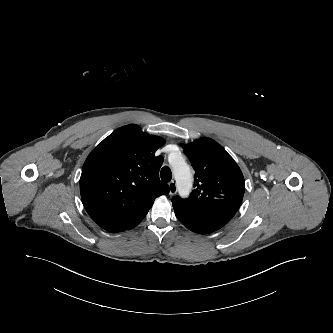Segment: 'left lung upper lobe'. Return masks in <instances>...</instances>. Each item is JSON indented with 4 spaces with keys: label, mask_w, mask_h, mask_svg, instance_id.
Segmentation results:
<instances>
[{
    "label": "left lung upper lobe",
    "mask_w": 333,
    "mask_h": 333,
    "mask_svg": "<svg viewBox=\"0 0 333 333\" xmlns=\"http://www.w3.org/2000/svg\"><path fill=\"white\" fill-rule=\"evenodd\" d=\"M184 152L196 171L195 189L186 199L173 197L172 203L204 204L234 199L241 204L245 191L243 174L221 145L210 138H201L184 145Z\"/></svg>",
    "instance_id": "obj_1"
}]
</instances>
